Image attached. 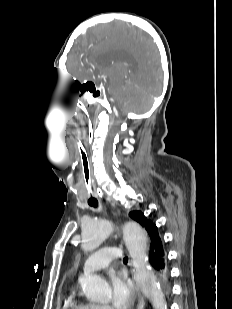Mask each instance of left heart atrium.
<instances>
[{
    "label": "left heart atrium",
    "mask_w": 232,
    "mask_h": 309,
    "mask_svg": "<svg viewBox=\"0 0 232 309\" xmlns=\"http://www.w3.org/2000/svg\"><path fill=\"white\" fill-rule=\"evenodd\" d=\"M112 303L116 309H127L136 299V290L122 273L112 272L109 276Z\"/></svg>",
    "instance_id": "obj_1"
}]
</instances>
